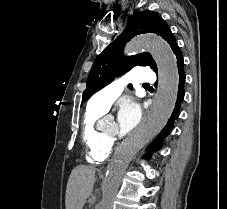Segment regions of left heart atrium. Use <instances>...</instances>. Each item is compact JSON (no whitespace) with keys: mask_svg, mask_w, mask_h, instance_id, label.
Returning <instances> with one entry per match:
<instances>
[{"mask_svg":"<svg viewBox=\"0 0 227 209\" xmlns=\"http://www.w3.org/2000/svg\"><path fill=\"white\" fill-rule=\"evenodd\" d=\"M141 107L132 99H124L119 104L118 127L122 134L131 132L141 119Z\"/></svg>","mask_w":227,"mask_h":209,"instance_id":"obj_1","label":"left heart atrium"}]
</instances>
